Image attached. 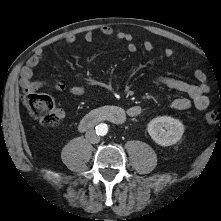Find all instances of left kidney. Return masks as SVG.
<instances>
[{
	"label": "left kidney",
	"mask_w": 221,
	"mask_h": 221,
	"mask_svg": "<svg viewBox=\"0 0 221 221\" xmlns=\"http://www.w3.org/2000/svg\"><path fill=\"white\" fill-rule=\"evenodd\" d=\"M147 130L158 145L170 146L181 139L184 133V125L178 119L161 116L152 119L148 123Z\"/></svg>",
	"instance_id": "1"
}]
</instances>
